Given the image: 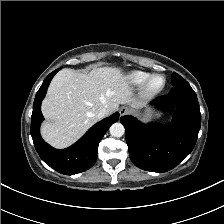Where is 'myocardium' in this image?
Segmentation results:
<instances>
[{
    "label": "myocardium",
    "instance_id": "1",
    "mask_svg": "<svg viewBox=\"0 0 224 224\" xmlns=\"http://www.w3.org/2000/svg\"><path fill=\"white\" fill-rule=\"evenodd\" d=\"M156 76H162L164 78V84L159 89H152L150 86V83H151L152 79L155 78ZM166 83H167V80H166L165 75L160 74V73L150 74L147 77V79L143 82V84L141 85V88H140L141 95L146 98L154 97V96L158 95L159 93H161L165 89Z\"/></svg>",
    "mask_w": 224,
    "mask_h": 224
}]
</instances>
